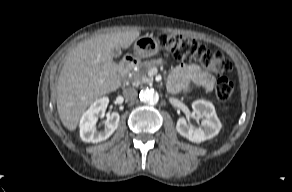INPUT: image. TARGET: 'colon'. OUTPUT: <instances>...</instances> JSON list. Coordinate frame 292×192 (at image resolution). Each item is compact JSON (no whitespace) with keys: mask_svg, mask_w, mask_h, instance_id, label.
Masks as SVG:
<instances>
[{"mask_svg":"<svg viewBox=\"0 0 292 192\" xmlns=\"http://www.w3.org/2000/svg\"><path fill=\"white\" fill-rule=\"evenodd\" d=\"M158 44L173 58L183 64L197 62L206 73L222 75L232 69L231 61L219 50H210L197 40L179 34L162 33ZM233 83L224 76L216 82L215 93L219 100L226 101L233 93Z\"/></svg>","mask_w":292,"mask_h":192,"instance_id":"obj_1","label":"colon"}]
</instances>
